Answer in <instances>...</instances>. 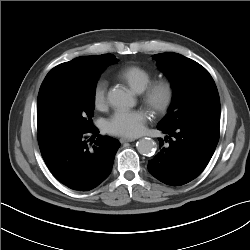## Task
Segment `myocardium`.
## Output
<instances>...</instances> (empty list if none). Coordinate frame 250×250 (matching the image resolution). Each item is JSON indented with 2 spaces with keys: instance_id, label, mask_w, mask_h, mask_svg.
Returning <instances> with one entry per match:
<instances>
[{
  "instance_id": "f54148a6",
  "label": "myocardium",
  "mask_w": 250,
  "mask_h": 250,
  "mask_svg": "<svg viewBox=\"0 0 250 250\" xmlns=\"http://www.w3.org/2000/svg\"><path fill=\"white\" fill-rule=\"evenodd\" d=\"M176 90L169 80L151 82L142 91L143 102L156 114L166 113L175 100Z\"/></svg>"
}]
</instances>
